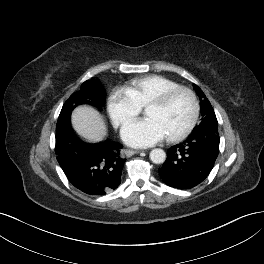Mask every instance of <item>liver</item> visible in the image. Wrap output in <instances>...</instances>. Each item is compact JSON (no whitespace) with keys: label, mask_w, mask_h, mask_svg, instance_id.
Listing matches in <instances>:
<instances>
[{"label":"liver","mask_w":264,"mask_h":264,"mask_svg":"<svg viewBox=\"0 0 264 264\" xmlns=\"http://www.w3.org/2000/svg\"><path fill=\"white\" fill-rule=\"evenodd\" d=\"M75 131L89 141H100L106 134V125L97 110L89 106L76 108L71 116Z\"/></svg>","instance_id":"6515ba94"}]
</instances>
